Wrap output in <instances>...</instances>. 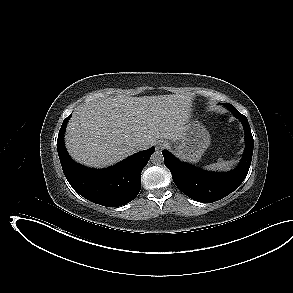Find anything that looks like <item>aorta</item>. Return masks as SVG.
I'll return each instance as SVG.
<instances>
[{"label":"aorta","mask_w":293,"mask_h":293,"mask_svg":"<svg viewBox=\"0 0 293 293\" xmlns=\"http://www.w3.org/2000/svg\"><path fill=\"white\" fill-rule=\"evenodd\" d=\"M163 161H164V157L162 153L156 151L151 155V162L154 165H160L161 163H163Z\"/></svg>","instance_id":"762f6f07"}]
</instances>
